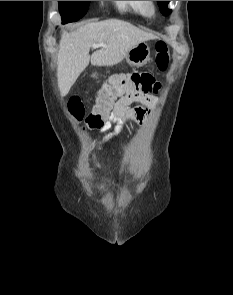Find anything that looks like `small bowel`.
Listing matches in <instances>:
<instances>
[{
    "mask_svg": "<svg viewBox=\"0 0 233 295\" xmlns=\"http://www.w3.org/2000/svg\"><path fill=\"white\" fill-rule=\"evenodd\" d=\"M134 102L141 103V106L132 107ZM158 98L152 94L141 95L136 98H122L116 101L114 109L109 115L108 119L99 128L101 132L110 130L115 127V133L121 128L124 121L127 119L146 120L151 114L150 107L156 105Z\"/></svg>",
    "mask_w": 233,
    "mask_h": 295,
    "instance_id": "1",
    "label": "small bowel"
}]
</instances>
